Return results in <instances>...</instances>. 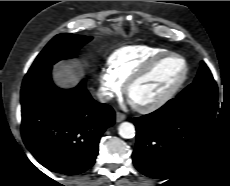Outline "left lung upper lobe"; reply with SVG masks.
Segmentation results:
<instances>
[{
    "label": "left lung upper lobe",
    "mask_w": 230,
    "mask_h": 186,
    "mask_svg": "<svg viewBox=\"0 0 230 186\" xmlns=\"http://www.w3.org/2000/svg\"><path fill=\"white\" fill-rule=\"evenodd\" d=\"M202 92H217L216 82L204 62H201V67L194 82L179 93L177 97L190 96Z\"/></svg>",
    "instance_id": "obj_1"
}]
</instances>
